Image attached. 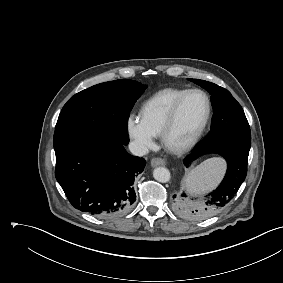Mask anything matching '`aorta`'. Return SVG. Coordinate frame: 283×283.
I'll return each instance as SVG.
<instances>
[{
    "label": "aorta",
    "mask_w": 283,
    "mask_h": 283,
    "mask_svg": "<svg viewBox=\"0 0 283 283\" xmlns=\"http://www.w3.org/2000/svg\"><path fill=\"white\" fill-rule=\"evenodd\" d=\"M153 177L155 180L161 183H166L170 180V172L167 168L164 167H158L155 168L153 171Z\"/></svg>",
    "instance_id": "762f6f07"
}]
</instances>
